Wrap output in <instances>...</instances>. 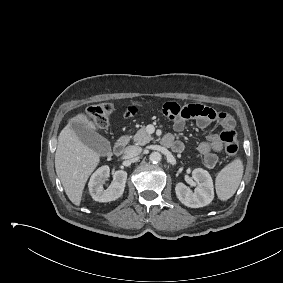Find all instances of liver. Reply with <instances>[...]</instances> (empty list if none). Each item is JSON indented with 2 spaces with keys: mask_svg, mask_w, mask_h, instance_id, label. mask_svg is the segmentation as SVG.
<instances>
[{
  "mask_svg": "<svg viewBox=\"0 0 283 283\" xmlns=\"http://www.w3.org/2000/svg\"><path fill=\"white\" fill-rule=\"evenodd\" d=\"M72 123H80L91 130L95 124L80 113L73 117L58 136L55 153V169L70 201L79 206L84 186L100 162V154L86 146L71 128Z\"/></svg>",
  "mask_w": 283,
  "mask_h": 283,
  "instance_id": "1",
  "label": "liver"
}]
</instances>
